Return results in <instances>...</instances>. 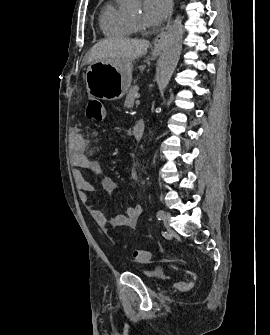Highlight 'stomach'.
<instances>
[{
    "label": "stomach",
    "instance_id": "obj_1",
    "mask_svg": "<svg viewBox=\"0 0 270 335\" xmlns=\"http://www.w3.org/2000/svg\"><path fill=\"white\" fill-rule=\"evenodd\" d=\"M161 54V48H153L152 56ZM132 60H104L92 62L85 74L86 90L96 100H120L128 92L132 82Z\"/></svg>",
    "mask_w": 270,
    "mask_h": 335
}]
</instances>
